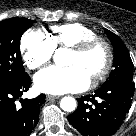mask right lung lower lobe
<instances>
[{
	"label": "right lung lower lobe",
	"mask_w": 136,
	"mask_h": 136,
	"mask_svg": "<svg viewBox=\"0 0 136 136\" xmlns=\"http://www.w3.org/2000/svg\"><path fill=\"white\" fill-rule=\"evenodd\" d=\"M31 85L29 76L11 86H0V136H28L39 120V108L45 102V95L34 99H20V108L16 100Z\"/></svg>",
	"instance_id": "1"
}]
</instances>
